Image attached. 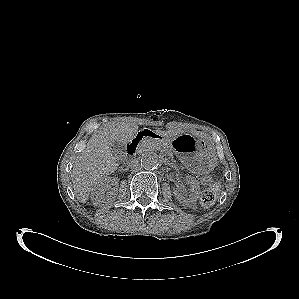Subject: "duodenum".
Returning <instances> with one entry per match:
<instances>
[{
	"instance_id": "1",
	"label": "duodenum",
	"mask_w": 299,
	"mask_h": 299,
	"mask_svg": "<svg viewBox=\"0 0 299 299\" xmlns=\"http://www.w3.org/2000/svg\"><path fill=\"white\" fill-rule=\"evenodd\" d=\"M147 137H156L155 133L151 130H143L136 134V136L128 143L127 152L129 155L136 153L140 142Z\"/></svg>"
}]
</instances>
